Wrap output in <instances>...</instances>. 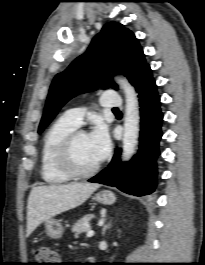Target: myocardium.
<instances>
[{
    "instance_id": "myocardium-1",
    "label": "myocardium",
    "mask_w": 205,
    "mask_h": 265,
    "mask_svg": "<svg viewBox=\"0 0 205 265\" xmlns=\"http://www.w3.org/2000/svg\"><path fill=\"white\" fill-rule=\"evenodd\" d=\"M87 135L82 129H75L70 132L62 141L58 155L57 162L63 172L71 178H87L94 175L100 169L98 162L92 168L87 170L78 169L73 162V146L78 137Z\"/></svg>"
}]
</instances>
